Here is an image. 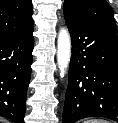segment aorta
<instances>
[{"mask_svg": "<svg viewBox=\"0 0 118 123\" xmlns=\"http://www.w3.org/2000/svg\"><path fill=\"white\" fill-rule=\"evenodd\" d=\"M71 58V38L66 28L59 30L57 39V64L60 76L64 77Z\"/></svg>", "mask_w": 118, "mask_h": 123, "instance_id": "aorta-1", "label": "aorta"}]
</instances>
